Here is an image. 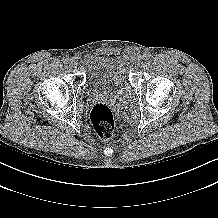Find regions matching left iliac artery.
<instances>
[{
  "instance_id": "44dca946",
  "label": "left iliac artery",
  "mask_w": 218,
  "mask_h": 218,
  "mask_svg": "<svg viewBox=\"0 0 218 218\" xmlns=\"http://www.w3.org/2000/svg\"><path fill=\"white\" fill-rule=\"evenodd\" d=\"M143 57L145 60H149L151 58V54L146 52L143 54Z\"/></svg>"
}]
</instances>
